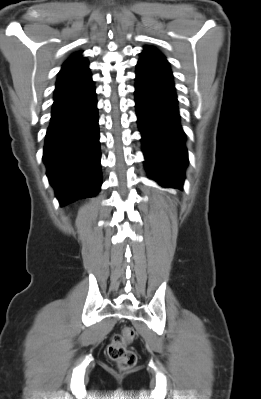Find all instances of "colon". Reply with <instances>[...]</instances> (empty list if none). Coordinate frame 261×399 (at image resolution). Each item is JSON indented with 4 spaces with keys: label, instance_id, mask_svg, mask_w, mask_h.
Here are the masks:
<instances>
[{
    "label": "colon",
    "instance_id": "colon-1",
    "mask_svg": "<svg viewBox=\"0 0 261 399\" xmlns=\"http://www.w3.org/2000/svg\"><path fill=\"white\" fill-rule=\"evenodd\" d=\"M135 330L130 326H125L115 334L107 346V354L111 360L117 363L120 369L127 370L132 368L137 362L134 351L128 345L135 339Z\"/></svg>",
    "mask_w": 261,
    "mask_h": 399
}]
</instances>
